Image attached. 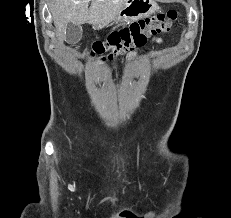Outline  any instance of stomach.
Segmentation results:
<instances>
[{"label": "stomach", "instance_id": "obj_1", "mask_svg": "<svg viewBox=\"0 0 231 218\" xmlns=\"http://www.w3.org/2000/svg\"><path fill=\"white\" fill-rule=\"evenodd\" d=\"M156 10L157 3L155 0H127L114 22L115 24H123L137 21L150 16ZM107 25H95L94 29L100 30Z\"/></svg>", "mask_w": 231, "mask_h": 218}]
</instances>
